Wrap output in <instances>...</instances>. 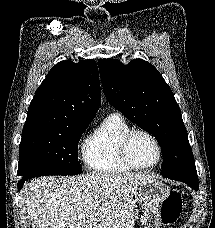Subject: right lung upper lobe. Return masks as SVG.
<instances>
[{
  "label": "right lung upper lobe",
  "mask_w": 215,
  "mask_h": 228,
  "mask_svg": "<svg viewBox=\"0 0 215 228\" xmlns=\"http://www.w3.org/2000/svg\"><path fill=\"white\" fill-rule=\"evenodd\" d=\"M101 101L93 60L57 63L36 90L23 131L45 126L91 122Z\"/></svg>",
  "instance_id": "1"
}]
</instances>
